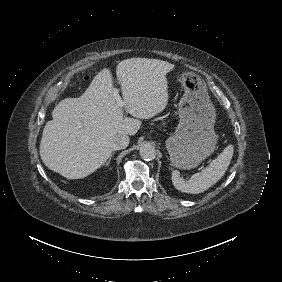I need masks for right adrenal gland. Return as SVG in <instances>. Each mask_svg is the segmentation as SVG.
Here are the masks:
<instances>
[{
	"label": "right adrenal gland",
	"instance_id": "right-adrenal-gland-1",
	"mask_svg": "<svg viewBox=\"0 0 282 282\" xmlns=\"http://www.w3.org/2000/svg\"><path fill=\"white\" fill-rule=\"evenodd\" d=\"M113 155H114V151L112 152L111 156L109 157L108 161L106 162V166L110 164Z\"/></svg>",
	"mask_w": 282,
	"mask_h": 282
}]
</instances>
